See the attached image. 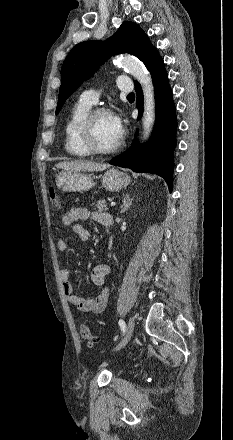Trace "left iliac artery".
Here are the masks:
<instances>
[{
	"label": "left iliac artery",
	"instance_id": "left-iliac-artery-1",
	"mask_svg": "<svg viewBox=\"0 0 233 440\" xmlns=\"http://www.w3.org/2000/svg\"><path fill=\"white\" fill-rule=\"evenodd\" d=\"M119 325H120V327H121V330H122L123 332H125L126 324H125V322H124L122 319L119 320Z\"/></svg>",
	"mask_w": 233,
	"mask_h": 440
}]
</instances>
